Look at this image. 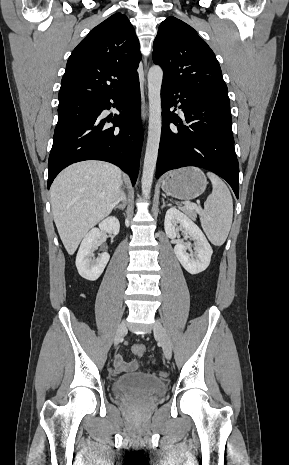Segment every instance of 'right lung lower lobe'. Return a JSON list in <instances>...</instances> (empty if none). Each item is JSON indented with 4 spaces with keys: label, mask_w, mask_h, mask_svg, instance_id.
Here are the masks:
<instances>
[{
    "label": "right lung lower lobe",
    "mask_w": 289,
    "mask_h": 465,
    "mask_svg": "<svg viewBox=\"0 0 289 465\" xmlns=\"http://www.w3.org/2000/svg\"><path fill=\"white\" fill-rule=\"evenodd\" d=\"M110 99L117 103L120 114L103 118V110L111 108ZM109 122L114 125L109 127ZM142 142L140 86L136 78L117 93L95 101L89 117L55 130L48 162V189L62 169L83 160L111 162L129 174L134 185Z\"/></svg>",
    "instance_id": "obj_1"
}]
</instances>
